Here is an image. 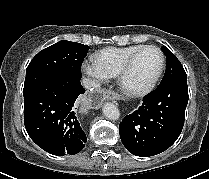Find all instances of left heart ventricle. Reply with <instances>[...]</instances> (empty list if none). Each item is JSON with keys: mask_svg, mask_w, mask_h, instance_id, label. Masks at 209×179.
<instances>
[{"mask_svg": "<svg viewBox=\"0 0 209 179\" xmlns=\"http://www.w3.org/2000/svg\"><path fill=\"white\" fill-rule=\"evenodd\" d=\"M161 65V57L157 50H145L135 61L125 78L128 89L136 90L148 85L156 76Z\"/></svg>", "mask_w": 209, "mask_h": 179, "instance_id": "left-heart-ventricle-1", "label": "left heart ventricle"}]
</instances>
